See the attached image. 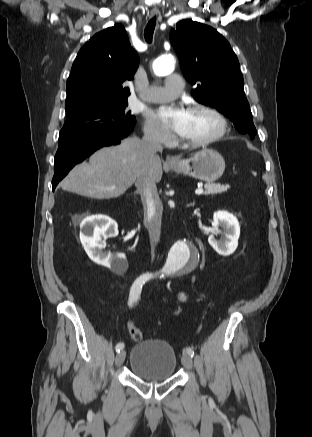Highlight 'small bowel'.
I'll return each mask as SVG.
<instances>
[{
  "instance_id": "1",
  "label": "small bowel",
  "mask_w": 312,
  "mask_h": 437,
  "mask_svg": "<svg viewBox=\"0 0 312 437\" xmlns=\"http://www.w3.org/2000/svg\"><path fill=\"white\" fill-rule=\"evenodd\" d=\"M177 300H178L179 302H183V301H184V296H182V295L178 296V297H177Z\"/></svg>"
}]
</instances>
